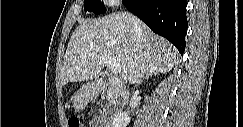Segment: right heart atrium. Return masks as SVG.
<instances>
[{"label": "right heart atrium", "mask_w": 243, "mask_h": 127, "mask_svg": "<svg viewBox=\"0 0 243 127\" xmlns=\"http://www.w3.org/2000/svg\"><path fill=\"white\" fill-rule=\"evenodd\" d=\"M120 0H107L106 3L111 5V6H116L120 3Z\"/></svg>", "instance_id": "d8ad5b80"}]
</instances>
